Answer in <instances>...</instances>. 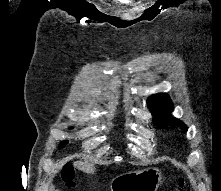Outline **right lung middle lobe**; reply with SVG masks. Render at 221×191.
I'll use <instances>...</instances> for the list:
<instances>
[{
    "instance_id": "dd1d6c3e",
    "label": "right lung middle lobe",
    "mask_w": 221,
    "mask_h": 191,
    "mask_svg": "<svg viewBox=\"0 0 221 191\" xmlns=\"http://www.w3.org/2000/svg\"><path fill=\"white\" fill-rule=\"evenodd\" d=\"M66 143H68V141H63V142L60 143L59 146H60V147H64V146L66 145Z\"/></svg>"
}]
</instances>
